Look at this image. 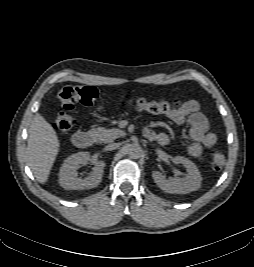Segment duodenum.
Wrapping results in <instances>:
<instances>
[{
    "instance_id": "obj_1",
    "label": "duodenum",
    "mask_w": 254,
    "mask_h": 267,
    "mask_svg": "<svg viewBox=\"0 0 254 267\" xmlns=\"http://www.w3.org/2000/svg\"><path fill=\"white\" fill-rule=\"evenodd\" d=\"M145 136L148 134L145 132ZM73 143L78 148H89L94 144V137L86 131H78L73 135Z\"/></svg>"
}]
</instances>
